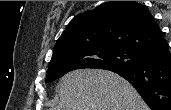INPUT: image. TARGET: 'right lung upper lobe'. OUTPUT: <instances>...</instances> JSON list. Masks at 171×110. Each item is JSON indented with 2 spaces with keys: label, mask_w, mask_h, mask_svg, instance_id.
<instances>
[{
  "label": "right lung upper lobe",
  "mask_w": 171,
  "mask_h": 110,
  "mask_svg": "<svg viewBox=\"0 0 171 110\" xmlns=\"http://www.w3.org/2000/svg\"><path fill=\"white\" fill-rule=\"evenodd\" d=\"M162 42V32L144 5L109 1L70 21L52 58L92 48L121 47L141 53Z\"/></svg>",
  "instance_id": "cb5924a9"
}]
</instances>
